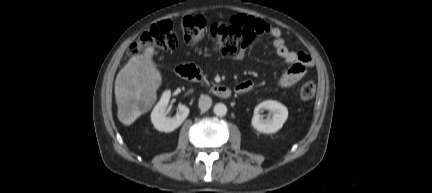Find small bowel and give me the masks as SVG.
<instances>
[{
  "label": "small bowel",
  "instance_id": "obj_1",
  "mask_svg": "<svg viewBox=\"0 0 432 193\" xmlns=\"http://www.w3.org/2000/svg\"><path fill=\"white\" fill-rule=\"evenodd\" d=\"M231 23L238 24L250 30L253 37L259 34H267L272 37V45L276 54L287 64L289 69L278 80V86L289 88L298 83L306 74L307 69L313 67L312 57L306 52L291 50L285 43L282 31L271 24L252 16L238 15L231 19ZM245 56V46L236 55L235 60L239 61ZM253 83L249 80L238 83L235 92L244 94L252 90Z\"/></svg>",
  "mask_w": 432,
  "mask_h": 193
}]
</instances>
